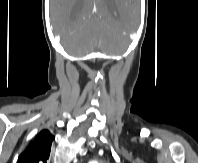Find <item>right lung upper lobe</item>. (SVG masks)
Listing matches in <instances>:
<instances>
[{"label": "right lung upper lobe", "instance_id": "right-lung-upper-lobe-1", "mask_svg": "<svg viewBox=\"0 0 198 163\" xmlns=\"http://www.w3.org/2000/svg\"><path fill=\"white\" fill-rule=\"evenodd\" d=\"M54 139L50 131L42 130L20 154L17 163H46Z\"/></svg>", "mask_w": 198, "mask_h": 163}]
</instances>
